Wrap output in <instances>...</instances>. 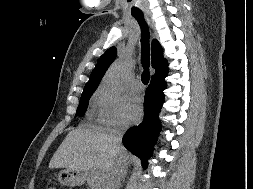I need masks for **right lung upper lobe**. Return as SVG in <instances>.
Wrapping results in <instances>:
<instances>
[{
  "mask_svg": "<svg viewBox=\"0 0 253 189\" xmlns=\"http://www.w3.org/2000/svg\"><path fill=\"white\" fill-rule=\"evenodd\" d=\"M117 50L115 47L109 48L98 60L96 67L93 69L89 81L84 87V91L96 90L102 77L107 71L108 67L115 60ZM152 67L156 73L152 78L163 76L168 73L167 61L163 57V50L157 40L152 41L151 46Z\"/></svg>",
  "mask_w": 253,
  "mask_h": 189,
  "instance_id": "obj_1",
  "label": "right lung upper lobe"
}]
</instances>
